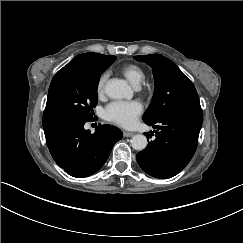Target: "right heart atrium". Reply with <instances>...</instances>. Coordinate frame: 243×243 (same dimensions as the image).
<instances>
[{"label":"right heart atrium","mask_w":243,"mask_h":243,"mask_svg":"<svg viewBox=\"0 0 243 243\" xmlns=\"http://www.w3.org/2000/svg\"><path fill=\"white\" fill-rule=\"evenodd\" d=\"M110 77L109 70L103 71L97 78L96 85H95V91L96 95L101 98L105 94V86L106 82Z\"/></svg>","instance_id":"right-heart-atrium-1"}]
</instances>
